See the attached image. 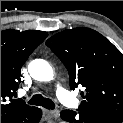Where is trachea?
<instances>
[{
    "mask_svg": "<svg viewBox=\"0 0 123 123\" xmlns=\"http://www.w3.org/2000/svg\"><path fill=\"white\" fill-rule=\"evenodd\" d=\"M28 103L36 106H43L46 109L55 108L54 102L49 98L43 97L41 94L33 95L32 98L28 101Z\"/></svg>",
    "mask_w": 123,
    "mask_h": 123,
    "instance_id": "1",
    "label": "trachea"
}]
</instances>
